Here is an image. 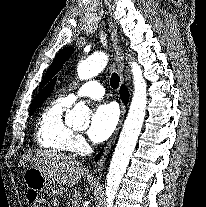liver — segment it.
I'll return each mask as SVG.
<instances>
[{
	"instance_id": "obj_1",
	"label": "liver",
	"mask_w": 206,
	"mask_h": 207,
	"mask_svg": "<svg viewBox=\"0 0 206 207\" xmlns=\"http://www.w3.org/2000/svg\"><path fill=\"white\" fill-rule=\"evenodd\" d=\"M23 160L30 162L60 188L75 185L85 172L79 161L52 150L30 152L23 156Z\"/></svg>"
}]
</instances>
